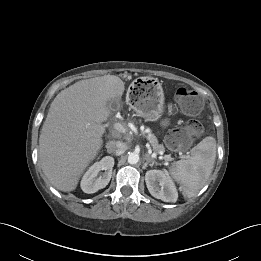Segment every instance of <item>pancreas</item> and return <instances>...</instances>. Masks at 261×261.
I'll use <instances>...</instances> for the list:
<instances>
[{"instance_id":"pancreas-1","label":"pancreas","mask_w":261,"mask_h":261,"mask_svg":"<svg viewBox=\"0 0 261 261\" xmlns=\"http://www.w3.org/2000/svg\"><path fill=\"white\" fill-rule=\"evenodd\" d=\"M148 139H149V142L151 143V146H152L154 152H164L165 151V147L162 144L158 143V140L154 134L149 133ZM163 158L165 161L171 160L170 156H169V158H167L166 156H164Z\"/></svg>"}]
</instances>
